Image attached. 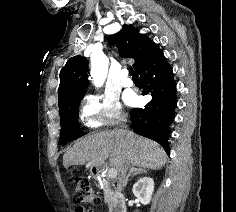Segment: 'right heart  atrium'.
Instances as JSON below:
<instances>
[{
  "label": "right heart atrium",
  "instance_id": "1",
  "mask_svg": "<svg viewBox=\"0 0 236 212\" xmlns=\"http://www.w3.org/2000/svg\"><path fill=\"white\" fill-rule=\"evenodd\" d=\"M80 118L86 127L114 126L123 122L126 115L119 100L112 95H88L80 106Z\"/></svg>",
  "mask_w": 236,
  "mask_h": 212
}]
</instances>
